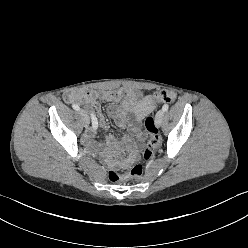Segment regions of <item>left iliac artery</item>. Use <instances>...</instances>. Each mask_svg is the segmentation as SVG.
I'll return each mask as SVG.
<instances>
[{
	"mask_svg": "<svg viewBox=\"0 0 248 248\" xmlns=\"http://www.w3.org/2000/svg\"><path fill=\"white\" fill-rule=\"evenodd\" d=\"M168 109H169V105L168 104L163 105L162 110L164 112H166Z\"/></svg>",
	"mask_w": 248,
	"mask_h": 248,
	"instance_id": "44dca946",
	"label": "left iliac artery"
}]
</instances>
